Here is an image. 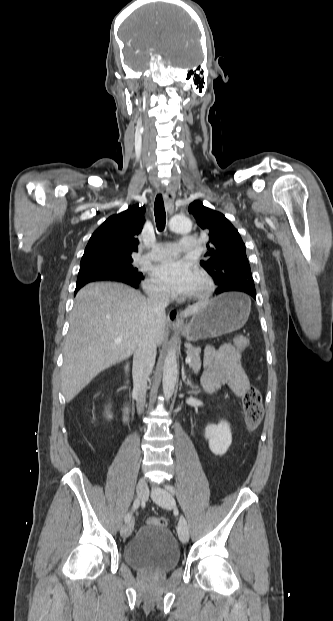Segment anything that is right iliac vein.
Masks as SVG:
<instances>
[{
    "label": "right iliac vein",
    "mask_w": 333,
    "mask_h": 621,
    "mask_svg": "<svg viewBox=\"0 0 333 621\" xmlns=\"http://www.w3.org/2000/svg\"><path fill=\"white\" fill-rule=\"evenodd\" d=\"M136 492L139 498L144 499L146 497L147 483L144 477H141L138 480ZM133 528H134V522L133 521L128 522L121 528V531H120L121 536L124 538H127L132 533Z\"/></svg>",
    "instance_id": "right-iliac-vein-1"
}]
</instances>
